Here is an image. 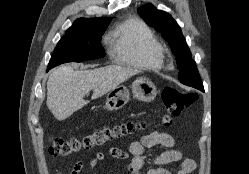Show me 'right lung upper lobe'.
I'll use <instances>...</instances> for the list:
<instances>
[{
	"label": "right lung upper lobe",
	"mask_w": 249,
	"mask_h": 174,
	"mask_svg": "<svg viewBox=\"0 0 249 174\" xmlns=\"http://www.w3.org/2000/svg\"><path fill=\"white\" fill-rule=\"evenodd\" d=\"M110 20V18H80L77 19L66 32L78 30L93 23L110 22Z\"/></svg>",
	"instance_id": "1"
}]
</instances>
